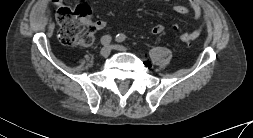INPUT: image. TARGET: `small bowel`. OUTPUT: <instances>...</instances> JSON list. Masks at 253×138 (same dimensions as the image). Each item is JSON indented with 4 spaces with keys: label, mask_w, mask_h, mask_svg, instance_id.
<instances>
[{
    "label": "small bowel",
    "mask_w": 253,
    "mask_h": 138,
    "mask_svg": "<svg viewBox=\"0 0 253 138\" xmlns=\"http://www.w3.org/2000/svg\"><path fill=\"white\" fill-rule=\"evenodd\" d=\"M51 1L55 5H61L63 3L68 2L69 0H51ZM161 1L167 2L169 0H161ZM173 9L177 13H180V14H188L190 10H192L194 12L195 19H199L202 16V10L200 6L194 1H190L188 5L175 4L173 6ZM207 20H208V16L206 13H204L203 25L201 26L199 30H196L195 33L199 34L201 32ZM94 25H95L96 31L103 30L106 27V23L101 20L95 21ZM164 30H165V26L163 24H155L150 28V33L153 35H160L164 32Z\"/></svg>",
    "instance_id": "obj_1"
}]
</instances>
